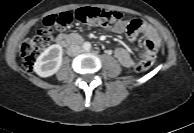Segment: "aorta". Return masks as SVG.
Masks as SVG:
<instances>
[{
    "label": "aorta",
    "instance_id": "obj_1",
    "mask_svg": "<svg viewBox=\"0 0 194 133\" xmlns=\"http://www.w3.org/2000/svg\"><path fill=\"white\" fill-rule=\"evenodd\" d=\"M83 49H84L85 51H89V50L91 49V44H90V42H85V43L83 44Z\"/></svg>",
    "mask_w": 194,
    "mask_h": 133
}]
</instances>
